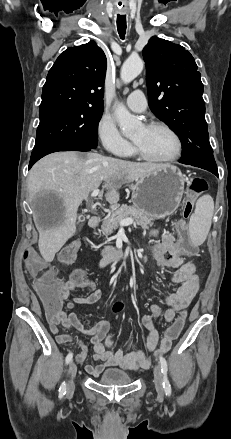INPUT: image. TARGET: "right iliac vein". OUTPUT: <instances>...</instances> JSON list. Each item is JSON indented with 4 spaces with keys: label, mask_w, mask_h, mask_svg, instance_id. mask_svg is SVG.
<instances>
[{
    "label": "right iliac vein",
    "mask_w": 231,
    "mask_h": 439,
    "mask_svg": "<svg viewBox=\"0 0 231 439\" xmlns=\"http://www.w3.org/2000/svg\"><path fill=\"white\" fill-rule=\"evenodd\" d=\"M76 372H77V366L75 364V362H70L69 365V381H68V385H67V394L70 395L74 392V388H75V384H74V378L76 376Z\"/></svg>",
    "instance_id": "right-iliac-vein-1"
}]
</instances>
